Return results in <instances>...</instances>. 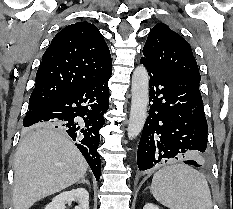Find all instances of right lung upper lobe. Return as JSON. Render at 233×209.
<instances>
[{
	"label": "right lung upper lobe",
	"instance_id": "1",
	"mask_svg": "<svg viewBox=\"0 0 233 209\" xmlns=\"http://www.w3.org/2000/svg\"><path fill=\"white\" fill-rule=\"evenodd\" d=\"M111 72L110 51L97 27L88 22L68 25L44 53L29 103L42 105Z\"/></svg>",
	"mask_w": 233,
	"mask_h": 209
}]
</instances>
